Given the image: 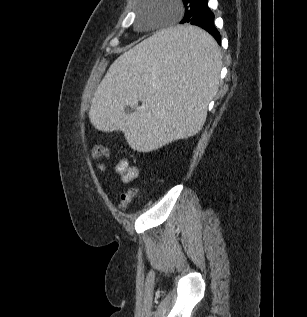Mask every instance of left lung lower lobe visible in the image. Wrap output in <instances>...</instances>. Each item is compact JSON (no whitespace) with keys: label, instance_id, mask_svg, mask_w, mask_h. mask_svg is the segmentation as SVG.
I'll use <instances>...</instances> for the list:
<instances>
[{"label":"left lung lower lobe","instance_id":"obj_1","mask_svg":"<svg viewBox=\"0 0 307 317\" xmlns=\"http://www.w3.org/2000/svg\"><path fill=\"white\" fill-rule=\"evenodd\" d=\"M185 22L201 27L211 34L219 45L221 44V36L214 25V14L208 7V0H201L195 8L194 14L188 20L184 19L182 23ZM168 44L173 49L189 50L195 55L205 59L214 56V48L210 44L192 37L173 36L169 39Z\"/></svg>","mask_w":307,"mask_h":317}]
</instances>
